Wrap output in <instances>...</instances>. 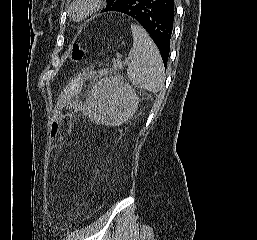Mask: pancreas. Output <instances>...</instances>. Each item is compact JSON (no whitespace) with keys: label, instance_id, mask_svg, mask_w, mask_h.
Instances as JSON below:
<instances>
[{"label":"pancreas","instance_id":"1","mask_svg":"<svg viewBox=\"0 0 257 240\" xmlns=\"http://www.w3.org/2000/svg\"><path fill=\"white\" fill-rule=\"evenodd\" d=\"M112 63H113V67H114L115 70H119V69L122 68V63L120 62V60L113 59Z\"/></svg>","mask_w":257,"mask_h":240}]
</instances>
